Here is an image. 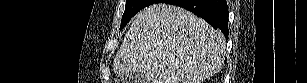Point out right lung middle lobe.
I'll list each match as a JSON object with an SVG mask.
<instances>
[{
  "label": "right lung middle lobe",
  "mask_w": 307,
  "mask_h": 83,
  "mask_svg": "<svg viewBox=\"0 0 307 83\" xmlns=\"http://www.w3.org/2000/svg\"><path fill=\"white\" fill-rule=\"evenodd\" d=\"M154 0H126V7L121 21L120 29H123L129 20L140 10L149 6Z\"/></svg>",
  "instance_id": "1"
}]
</instances>
